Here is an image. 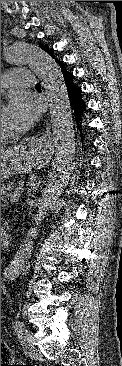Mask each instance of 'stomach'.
Returning <instances> with one entry per match:
<instances>
[{"instance_id": "1", "label": "stomach", "mask_w": 122, "mask_h": 366, "mask_svg": "<svg viewBox=\"0 0 122 366\" xmlns=\"http://www.w3.org/2000/svg\"><path fill=\"white\" fill-rule=\"evenodd\" d=\"M28 146L32 149L36 147L32 142ZM24 153H26V149L23 148L17 154L10 152L5 160H1V181L19 170Z\"/></svg>"}]
</instances>
